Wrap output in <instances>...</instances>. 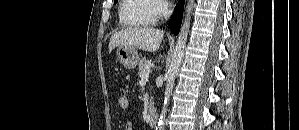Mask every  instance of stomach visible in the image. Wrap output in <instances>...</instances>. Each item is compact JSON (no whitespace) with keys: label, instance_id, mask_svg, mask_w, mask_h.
Masks as SVG:
<instances>
[{"label":"stomach","instance_id":"obj_1","mask_svg":"<svg viewBox=\"0 0 299 130\" xmlns=\"http://www.w3.org/2000/svg\"><path fill=\"white\" fill-rule=\"evenodd\" d=\"M116 58L126 69H134L139 62V54L132 47H117Z\"/></svg>","mask_w":299,"mask_h":130}]
</instances>
